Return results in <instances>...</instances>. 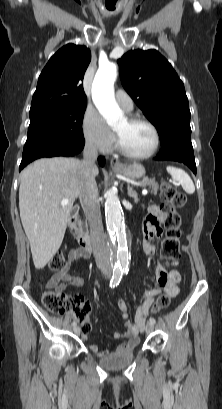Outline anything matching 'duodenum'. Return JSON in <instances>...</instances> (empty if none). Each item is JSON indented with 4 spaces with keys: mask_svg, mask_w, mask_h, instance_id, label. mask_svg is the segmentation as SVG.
I'll return each instance as SVG.
<instances>
[{
    "mask_svg": "<svg viewBox=\"0 0 222 409\" xmlns=\"http://www.w3.org/2000/svg\"><path fill=\"white\" fill-rule=\"evenodd\" d=\"M79 206L71 207L68 215V229L70 233L76 238L81 250L89 255L92 252V240L90 236L82 232L79 222Z\"/></svg>",
    "mask_w": 222,
    "mask_h": 409,
    "instance_id": "410a0bca",
    "label": "duodenum"
}]
</instances>
